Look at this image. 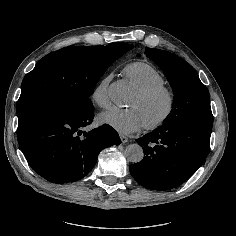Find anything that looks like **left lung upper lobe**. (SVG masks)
Listing matches in <instances>:
<instances>
[{
	"label": "left lung upper lobe",
	"mask_w": 236,
	"mask_h": 236,
	"mask_svg": "<svg viewBox=\"0 0 236 236\" xmlns=\"http://www.w3.org/2000/svg\"><path fill=\"white\" fill-rule=\"evenodd\" d=\"M145 53L163 69L174 92L173 108L162 126L184 122L212 124L209 92L195 69L182 58L167 51L148 48Z\"/></svg>",
	"instance_id": "5c2ea615"
}]
</instances>
